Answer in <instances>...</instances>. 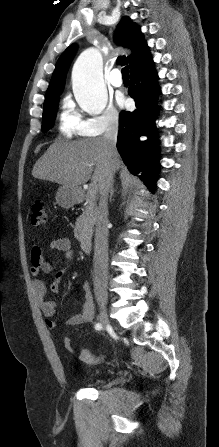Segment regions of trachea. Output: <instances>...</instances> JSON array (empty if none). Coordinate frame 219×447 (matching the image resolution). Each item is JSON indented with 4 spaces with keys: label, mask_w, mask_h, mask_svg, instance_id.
I'll return each mask as SVG.
<instances>
[{
    "label": "trachea",
    "mask_w": 219,
    "mask_h": 447,
    "mask_svg": "<svg viewBox=\"0 0 219 447\" xmlns=\"http://www.w3.org/2000/svg\"><path fill=\"white\" fill-rule=\"evenodd\" d=\"M122 77L123 78H129V66H126L122 69Z\"/></svg>",
    "instance_id": "3493384b"
}]
</instances>
